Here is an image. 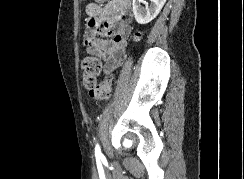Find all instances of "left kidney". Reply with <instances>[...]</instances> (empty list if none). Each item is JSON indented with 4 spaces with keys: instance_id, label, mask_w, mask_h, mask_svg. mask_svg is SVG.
<instances>
[{
    "instance_id": "5707ae66",
    "label": "left kidney",
    "mask_w": 244,
    "mask_h": 179,
    "mask_svg": "<svg viewBox=\"0 0 244 179\" xmlns=\"http://www.w3.org/2000/svg\"><path fill=\"white\" fill-rule=\"evenodd\" d=\"M166 0H151L149 8L140 6L141 0H133L132 8L137 24H149L161 12Z\"/></svg>"
}]
</instances>
